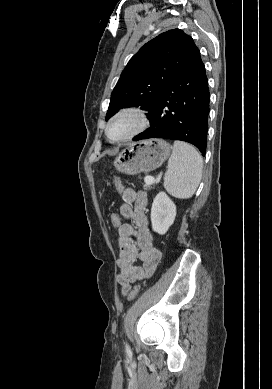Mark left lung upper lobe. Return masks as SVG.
<instances>
[{
  "label": "left lung upper lobe",
  "mask_w": 272,
  "mask_h": 389,
  "mask_svg": "<svg viewBox=\"0 0 272 389\" xmlns=\"http://www.w3.org/2000/svg\"><path fill=\"white\" fill-rule=\"evenodd\" d=\"M199 52L193 39L180 29L158 35L140 48L121 73L106 114L140 106L151 113L165 87Z\"/></svg>",
  "instance_id": "obj_1"
}]
</instances>
